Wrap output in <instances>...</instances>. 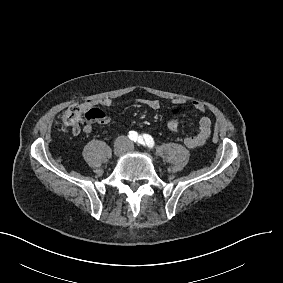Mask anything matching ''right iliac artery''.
<instances>
[{"label": "right iliac artery", "instance_id": "obj_1", "mask_svg": "<svg viewBox=\"0 0 283 283\" xmlns=\"http://www.w3.org/2000/svg\"><path fill=\"white\" fill-rule=\"evenodd\" d=\"M128 137L130 140L136 142L138 138V133L136 131H130Z\"/></svg>", "mask_w": 283, "mask_h": 283}]
</instances>
